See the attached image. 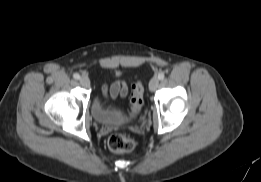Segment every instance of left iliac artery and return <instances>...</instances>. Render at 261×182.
Masks as SVG:
<instances>
[{
  "mask_svg": "<svg viewBox=\"0 0 261 182\" xmlns=\"http://www.w3.org/2000/svg\"><path fill=\"white\" fill-rule=\"evenodd\" d=\"M165 78V74L163 72L158 74V79L163 80Z\"/></svg>",
  "mask_w": 261,
  "mask_h": 182,
  "instance_id": "left-iliac-artery-1",
  "label": "left iliac artery"
}]
</instances>
